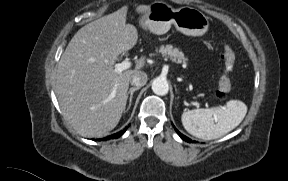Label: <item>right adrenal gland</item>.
Instances as JSON below:
<instances>
[{"label":"right adrenal gland","mask_w":288,"mask_h":181,"mask_svg":"<svg viewBox=\"0 0 288 181\" xmlns=\"http://www.w3.org/2000/svg\"><path fill=\"white\" fill-rule=\"evenodd\" d=\"M140 88L139 87H132L129 89L128 93H127V98L129 97V105L127 107V110L130 108L131 106V102H132V97H133V94L135 91L139 90ZM130 95V96H129ZM126 110V111H127Z\"/></svg>","instance_id":"1"}]
</instances>
